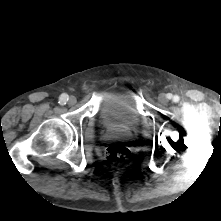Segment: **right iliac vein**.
Here are the masks:
<instances>
[{
  "mask_svg": "<svg viewBox=\"0 0 221 221\" xmlns=\"http://www.w3.org/2000/svg\"><path fill=\"white\" fill-rule=\"evenodd\" d=\"M76 97L75 96H70L69 98H68V103L70 104V105H74L75 103H76Z\"/></svg>",
  "mask_w": 221,
  "mask_h": 221,
  "instance_id": "right-iliac-vein-1",
  "label": "right iliac vein"
}]
</instances>
